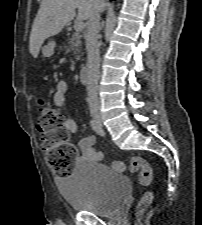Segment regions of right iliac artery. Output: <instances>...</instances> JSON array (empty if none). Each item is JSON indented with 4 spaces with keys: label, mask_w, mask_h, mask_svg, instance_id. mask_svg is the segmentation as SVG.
Returning a JSON list of instances; mask_svg holds the SVG:
<instances>
[{
    "label": "right iliac artery",
    "mask_w": 202,
    "mask_h": 225,
    "mask_svg": "<svg viewBox=\"0 0 202 225\" xmlns=\"http://www.w3.org/2000/svg\"><path fill=\"white\" fill-rule=\"evenodd\" d=\"M90 127L94 130L97 134L104 136V132L101 128V125L97 123L95 120H90Z\"/></svg>",
    "instance_id": "right-iliac-artery-1"
}]
</instances>
